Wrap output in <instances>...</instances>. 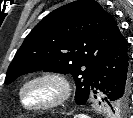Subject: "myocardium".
Masks as SVG:
<instances>
[{"label":"myocardium","mask_w":133,"mask_h":118,"mask_svg":"<svg viewBox=\"0 0 133 118\" xmlns=\"http://www.w3.org/2000/svg\"><path fill=\"white\" fill-rule=\"evenodd\" d=\"M45 82L56 89V96L43 104L28 106L24 101V92L31 84L35 82ZM73 92L69 78L62 72L56 70H45L28 76L21 84L18 91V98L21 106L31 112H42L55 109L65 104Z\"/></svg>","instance_id":"f54148a6"}]
</instances>
